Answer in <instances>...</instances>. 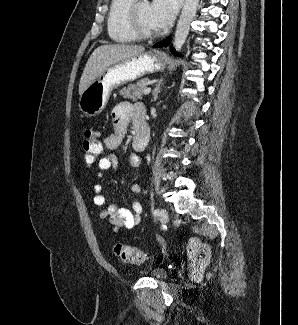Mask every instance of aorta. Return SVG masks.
<instances>
[{"label": "aorta", "mask_w": 298, "mask_h": 325, "mask_svg": "<svg viewBox=\"0 0 298 325\" xmlns=\"http://www.w3.org/2000/svg\"><path fill=\"white\" fill-rule=\"evenodd\" d=\"M143 2L149 4V0H143ZM198 4L199 0H185L184 2L173 38V48L174 52H177V54L178 52H181L183 44L186 42L190 30V24L193 18H195Z\"/></svg>", "instance_id": "1"}]
</instances>
